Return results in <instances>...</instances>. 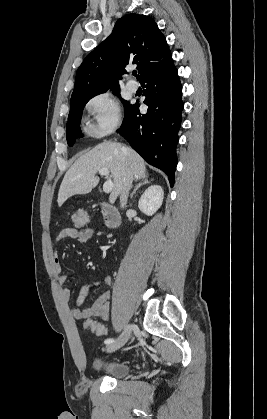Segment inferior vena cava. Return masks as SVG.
I'll return each mask as SVG.
<instances>
[{
    "mask_svg": "<svg viewBox=\"0 0 267 419\" xmlns=\"http://www.w3.org/2000/svg\"><path fill=\"white\" fill-rule=\"evenodd\" d=\"M133 174L130 169L127 170L120 189V206L124 208L127 204L128 194L132 187Z\"/></svg>",
    "mask_w": 267,
    "mask_h": 419,
    "instance_id": "obj_1",
    "label": "inferior vena cava"
}]
</instances>
